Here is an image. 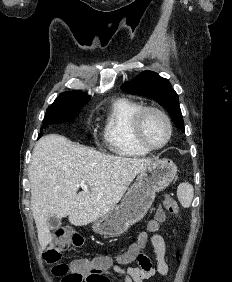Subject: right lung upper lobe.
<instances>
[{
    "label": "right lung upper lobe",
    "instance_id": "cb5924a9",
    "mask_svg": "<svg viewBox=\"0 0 232 282\" xmlns=\"http://www.w3.org/2000/svg\"><path fill=\"white\" fill-rule=\"evenodd\" d=\"M90 98L87 94L82 91H71L61 93L60 96L55 101H71V100H81Z\"/></svg>",
    "mask_w": 232,
    "mask_h": 282
}]
</instances>
